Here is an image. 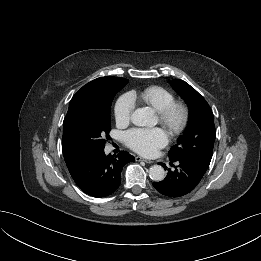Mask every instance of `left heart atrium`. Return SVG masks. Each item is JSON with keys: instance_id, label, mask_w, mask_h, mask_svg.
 <instances>
[{"instance_id": "39dd6f15", "label": "left heart atrium", "mask_w": 261, "mask_h": 261, "mask_svg": "<svg viewBox=\"0 0 261 261\" xmlns=\"http://www.w3.org/2000/svg\"><path fill=\"white\" fill-rule=\"evenodd\" d=\"M127 145L135 152L151 156L167 143V134L161 128H135L125 135Z\"/></svg>"}]
</instances>
